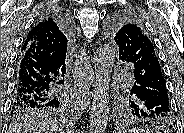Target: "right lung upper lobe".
<instances>
[{"mask_svg":"<svg viewBox=\"0 0 184 133\" xmlns=\"http://www.w3.org/2000/svg\"><path fill=\"white\" fill-rule=\"evenodd\" d=\"M69 39V33L60 24L58 17L49 12L32 26L23 43L21 54L30 48L45 56L64 57Z\"/></svg>","mask_w":184,"mask_h":133,"instance_id":"cb5924a9","label":"right lung upper lobe"}]
</instances>
